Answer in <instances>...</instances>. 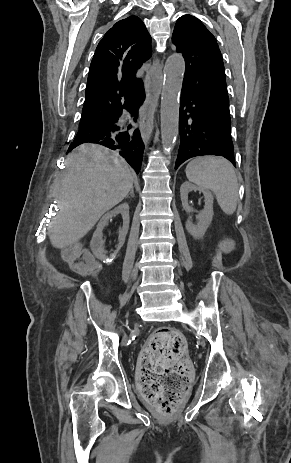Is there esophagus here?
Instances as JSON below:
<instances>
[{"label": "esophagus", "instance_id": "1", "mask_svg": "<svg viewBox=\"0 0 291 463\" xmlns=\"http://www.w3.org/2000/svg\"><path fill=\"white\" fill-rule=\"evenodd\" d=\"M154 71L151 73V90L148 98L149 112L140 125V131L143 139L148 141L153 130V114L155 105L162 88V71L158 61L153 62Z\"/></svg>", "mask_w": 291, "mask_h": 463}]
</instances>
